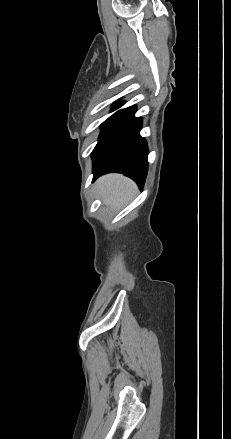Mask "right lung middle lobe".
<instances>
[{
  "instance_id": "right-lung-middle-lobe-1",
  "label": "right lung middle lobe",
  "mask_w": 231,
  "mask_h": 439,
  "mask_svg": "<svg viewBox=\"0 0 231 439\" xmlns=\"http://www.w3.org/2000/svg\"><path fill=\"white\" fill-rule=\"evenodd\" d=\"M122 103L115 102L114 106L116 108L120 107ZM136 111L135 106H131L122 110L117 111L112 116H110L102 125H101V133L99 136V141L96 145H100L106 137H108L111 133L122 127L123 125L127 124L128 122L135 119L134 113ZM95 147V148H96Z\"/></svg>"
}]
</instances>
